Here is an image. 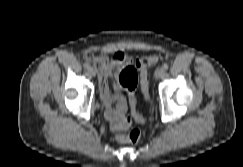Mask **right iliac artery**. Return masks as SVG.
<instances>
[{"instance_id": "obj_1", "label": "right iliac artery", "mask_w": 243, "mask_h": 167, "mask_svg": "<svg viewBox=\"0 0 243 167\" xmlns=\"http://www.w3.org/2000/svg\"><path fill=\"white\" fill-rule=\"evenodd\" d=\"M83 66H84V68L88 69L90 67V64L89 63H84Z\"/></svg>"}]
</instances>
